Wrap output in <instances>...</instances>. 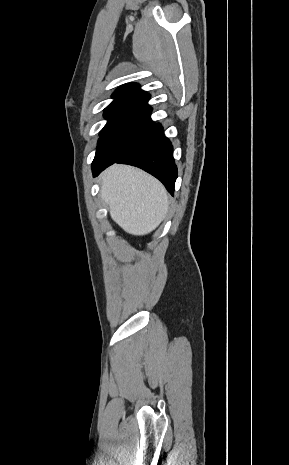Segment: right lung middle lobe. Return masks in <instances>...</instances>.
<instances>
[{"label": "right lung middle lobe", "instance_id": "right-lung-middle-lobe-1", "mask_svg": "<svg viewBox=\"0 0 289 465\" xmlns=\"http://www.w3.org/2000/svg\"><path fill=\"white\" fill-rule=\"evenodd\" d=\"M152 108L145 104H127L105 109L107 124L100 139L93 162L114 161L135 145L155 124Z\"/></svg>", "mask_w": 289, "mask_h": 465}]
</instances>
